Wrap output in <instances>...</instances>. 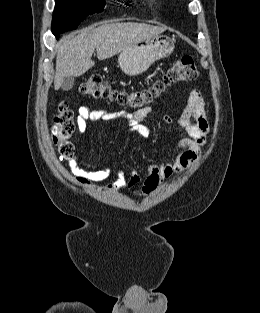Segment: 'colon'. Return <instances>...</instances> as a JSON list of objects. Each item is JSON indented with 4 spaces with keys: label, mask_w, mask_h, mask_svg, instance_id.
Returning <instances> with one entry per match:
<instances>
[{
    "label": "colon",
    "mask_w": 260,
    "mask_h": 313,
    "mask_svg": "<svg viewBox=\"0 0 260 313\" xmlns=\"http://www.w3.org/2000/svg\"><path fill=\"white\" fill-rule=\"evenodd\" d=\"M199 75L194 59L191 56H182L160 79L146 88L135 91L118 90L112 87L106 78L96 75L84 81L79 87V92L90 98L110 99L121 105L145 109L169 87L195 81ZM74 130L75 113L67 102L61 101L53 118L51 138L63 160L70 159L74 154V146L70 141Z\"/></svg>",
    "instance_id": "colon-1"
}]
</instances>
